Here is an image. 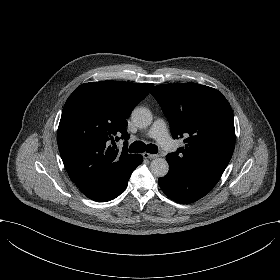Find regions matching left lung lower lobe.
<instances>
[{
  "label": "left lung lower lobe",
  "instance_id": "left-lung-lower-lobe-1",
  "mask_svg": "<svg viewBox=\"0 0 280 280\" xmlns=\"http://www.w3.org/2000/svg\"><path fill=\"white\" fill-rule=\"evenodd\" d=\"M170 169L159 178L162 191L172 200L188 204L209 193L221 177V173L197 167H186L171 157H166Z\"/></svg>",
  "mask_w": 280,
  "mask_h": 280
}]
</instances>
